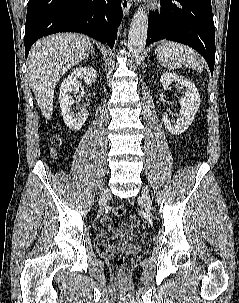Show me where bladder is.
I'll list each match as a JSON object with an SVG mask.
<instances>
[{
    "label": "bladder",
    "instance_id": "bladder-1",
    "mask_svg": "<svg viewBox=\"0 0 239 303\" xmlns=\"http://www.w3.org/2000/svg\"><path fill=\"white\" fill-rule=\"evenodd\" d=\"M125 239L127 240H133L135 238V235L134 234H127L124 236Z\"/></svg>",
    "mask_w": 239,
    "mask_h": 303
}]
</instances>
